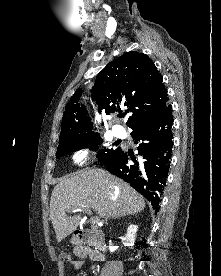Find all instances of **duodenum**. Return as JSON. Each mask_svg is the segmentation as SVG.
I'll return each instance as SVG.
<instances>
[{
  "label": "duodenum",
  "instance_id": "410a0bca",
  "mask_svg": "<svg viewBox=\"0 0 221 276\" xmlns=\"http://www.w3.org/2000/svg\"><path fill=\"white\" fill-rule=\"evenodd\" d=\"M74 236L77 244L81 247L85 244H91L94 250L101 255L106 250L103 235L97 230L78 229L75 231Z\"/></svg>",
  "mask_w": 221,
  "mask_h": 276
}]
</instances>
